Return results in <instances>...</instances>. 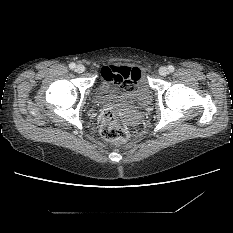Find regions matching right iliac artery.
I'll return each mask as SVG.
<instances>
[{"instance_id":"1","label":"right iliac artery","mask_w":233,"mask_h":233,"mask_svg":"<svg viewBox=\"0 0 233 233\" xmlns=\"http://www.w3.org/2000/svg\"><path fill=\"white\" fill-rule=\"evenodd\" d=\"M69 67H70V69H74L76 67V65H75V63L72 62L69 64Z\"/></svg>"}]
</instances>
